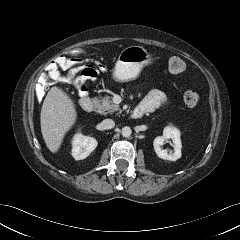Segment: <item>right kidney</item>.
<instances>
[{
	"instance_id": "right-kidney-1",
	"label": "right kidney",
	"mask_w": 240,
	"mask_h": 240,
	"mask_svg": "<svg viewBox=\"0 0 240 240\" xmlns=\"http://www.w3.org/2000/svg\"><path fill=\"white\" fill-rule=\"evenodd\" d=\"M97 144L95 138L77 133L72 141V156L75 160H83L95 150Z\"/></svg>"
}]
</instances>
